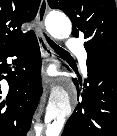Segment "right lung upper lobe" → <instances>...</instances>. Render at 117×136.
<instances>
[{"instance_id":"obj_1","label":"right lung upper lobe","mask_w":117,"mask_h":136,"mask_svg":"<svg viewBox=\"0 0 117 136\" xmlns=\"http://www.w3.org/2000/svg\"><path fill=\"white\" fill-rule=\"evenodd\" d=\"M41 0H0V52L18 45L34 32L23 33V23L33 20Z\"/></svg>"}]
</instances>
